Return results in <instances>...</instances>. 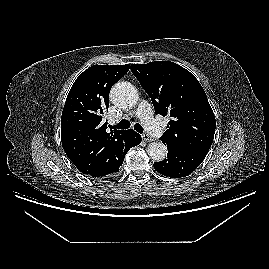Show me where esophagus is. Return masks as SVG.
Wrapping results in <instances>:
<instances>
[{"mask_svg":"<svg viewBox=\"0 0 269 269\" xmlns=\"http://www.w3.org/2000/svg\"><path fill=\"white\" fill-rule=\"evenodd\" d=\"M141 137H142L143 141H146V142H150V141L153 140V139H152L148 134H146V133L142 134Z\"/></svg>","mask_w":269,"mask_h":269,"instance_id":"esophagus-1","label":"esophagus"}]
</instances>
